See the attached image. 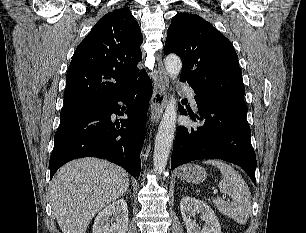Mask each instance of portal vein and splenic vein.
<instances>
[{"label": "portal vein and splenic vein", "instance_id": "18ae733b", "mask_svg": "<svg viewBox=\"0 0 306 233\" xmlns=\"http://www.w3.org/2000/svg\"><path fill=\"white\" fill-rule=\"evenodd\" d=\"M213 192H214V194H217V193H218V191H217V190H214Z\"/></svg>", "mask_w": 306, "mask_h": 233}]
</instances>
